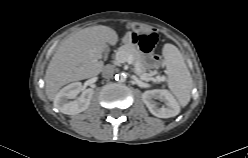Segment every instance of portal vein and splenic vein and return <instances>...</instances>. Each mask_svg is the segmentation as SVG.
Wrapping results in <instances>:
<instances>
[{"instance_id": "1", "label": "portal vein and splenic vein", "mask_w": 248, "mask_h": 158, "mask_svg": "<svg viewBox=\"0 0 248 158\" xmlns=\"http://www.w3.org/2000/svg\"><path fill=\"white\" fill-rule=\"evenodd\" d=\"M123 62H127L128 64H132L133 60L131 57L126 58L125 60H123Z\"/></svg>"}]
</instances>
